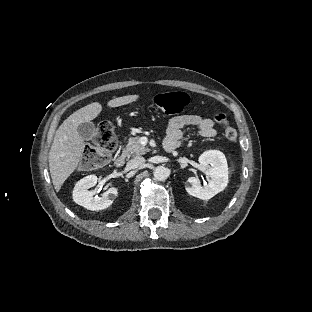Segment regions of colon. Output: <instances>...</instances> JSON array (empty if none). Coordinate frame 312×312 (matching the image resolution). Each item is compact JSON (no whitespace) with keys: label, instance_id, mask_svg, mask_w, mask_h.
Returning a JSON list of instances; mask_svg holds the SVG:
<instances>
[{"label":"colon","instance_id":"5ec220e1","mask_svg":"<svg viewBox=\"0 0 312 312\" xmlns=\"http://www.w3.org/2000/svg\"><path fill=\"white\" fill-rule=\"evenodd\" d=\"M188 104V96L184 92L163 93L157 98L156 103L149 106L154 113L176 114L181 112ZM215 122L223 127L226 139L234 143L237 140V132L229 123L226 113L219 110L213 114ZM96 150L87 149L82 154V165L88 168H102L111 159V154L117 148V137L110 121L100 122L94 130Z\"/></svg>","mask_w":312,"mask_h":312}]
</instances>
